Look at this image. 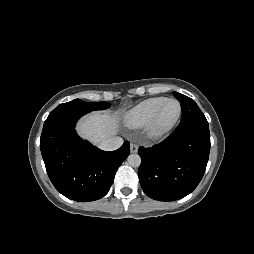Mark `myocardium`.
<instances>
[{
	"label": "myocardium",
	"mask_w": 254,
	"mask_h": 254,
	"mask_svg": "<svg viewBox=\"0 0 254 254\" xmlns=\"http://www.w3.org/2000/svg\"><path fill=\"white\" fill-rule=\"evenodd\" d=\"M168 102H175L178 105V113L174 120L166 125V126H160L159 125V118L162 113V110L166 103ZM182 114V106L181 103L175 99V98H166L163 103L159 106V108L156 110L150 121L146 125V135L148 138L153 140H159L167 136L176 126L178 123L180 117Z\"/></svg>",
	"instance_id": "f54148a6"
}]
</instances>
